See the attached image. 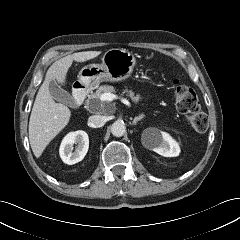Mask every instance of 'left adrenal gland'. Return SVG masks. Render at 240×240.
Here are the masks:
<instances>
[{
	"label": "left adrenal gland",
	"instance_id": "1",
	"mask_svg": "<svg viewBox=\"0 0 240 240\" xmlns=\"http://www.w3.org/2000/svg\"><path fill=\"white\" fill-rule=\"evenodd\" d=\"M143 118H144V114H141V115L135 117L134 120L132 121V124H133V125H136L137 122L140 121V120L143 119Z\"/></svg>",
	"mask_w": 240,
	"mask_h": 240
}]
</instances>
